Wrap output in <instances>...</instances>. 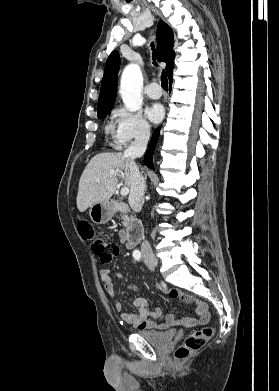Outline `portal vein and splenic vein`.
<instances>
[{"mask_svg":"<svg viewBox=\"0 0 279 391\" xmlns=\"http://www.w3.org/2000/svg\"><path fill=\"white\" fill-rule=\"evenodd\" d=\"M113 175H116V173H115V172H111L110 176H113ZM118 176L123 177V176L120 175V174H118ZM99 182H100V181L97 180V183H99ZM128 193H129V188H128V187L124 186V187L121 188L120 194H121L122 196H126V195H128Z\"/></svg>","mask_w":279,"mask_h":391,"instance_id":"18ae733b","label":"portal vein and splenic vein"}]
</instances>
